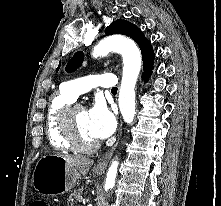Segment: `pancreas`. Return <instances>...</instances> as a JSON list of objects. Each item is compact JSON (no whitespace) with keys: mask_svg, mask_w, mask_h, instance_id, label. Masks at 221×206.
Wrapping results in <instances>:
<instances>
[{"mask_svg":"<svg viewBox=\"0 0 221 206\" xmlns=\"http://www.w3.org/2000/svg\"><path fill=\"white\" fill-rule=\"evenodd\" d=\"M82 196V190H75L71 195L69 196L68 201H73L74 199H78L79 197Z\"/></svg>","mask_w":221,"mask_h":206,"instance_id":"pancreas-1","label":"pancreas"}]
</instances>
